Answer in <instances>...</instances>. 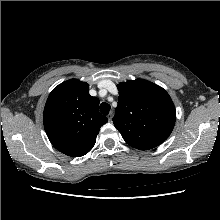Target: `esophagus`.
<instances>
[{
	"mask_svg": "<svg viewBox=\"0 0 220 220\" xmlns=\"http://www.w3.org/2000/svg\"><path fill=\"white\" fill-rule=\"evenodd\" d=\"M107 118H108L109 121L112 120V118H113V112L112 111L107 115Z\"/></svg>",
	"mask_w": 220,
	"mask_h": 220,
	"instance_id": "34e87169",
	"label": "esophagus"
}]
</instances>
